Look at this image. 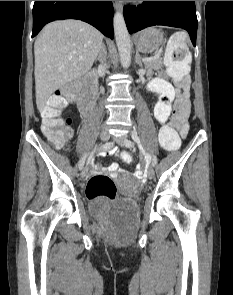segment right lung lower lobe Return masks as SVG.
I'll use <instances>...</instances> for the list:
<instances>
[{"instance_id":"1","label":"right lung lower lobe","mask_w":233,"mask_h":295,"mask_svg":"<svg viewBox=\"0 0 233 295\" xmlns=\"http://www.w3.org/2000/svg\"><path fill=\"white\" fill-rule=\"evenodd\" d=\"M112 1H35L33 6V34L54 20L80 19L113 39Z\"/></svg>"}]
</instances>
